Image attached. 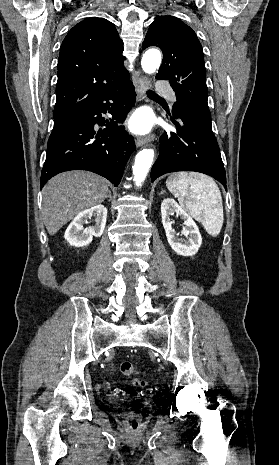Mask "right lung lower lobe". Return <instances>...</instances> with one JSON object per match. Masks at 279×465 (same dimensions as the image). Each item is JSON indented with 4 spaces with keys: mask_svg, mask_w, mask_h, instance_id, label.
<instances>
[{
    "mask_svg": "<svg viewBox=\"0 0 279 465\" xmlns=\"http://www.w3.org/2000/svg\"><path fill=\"white\" fill-rule=\"evenodd\" d=\"M135 96L134 86L128 80L77 113L47 148L41 187L52 176L75 169L95 172L118 186L135 143L132 136L118 129L117 123L123 122L134 106ZM107 110L112 115L111 122L106 121V128L96 132L94 126L105 124L101 113Z\"/></svg>",
    "mask_w": 279,
    "mask_h": 465,
    "instance_id": "98d812e1",
    "label": "right lung lower lobe"
}]
</instances>
